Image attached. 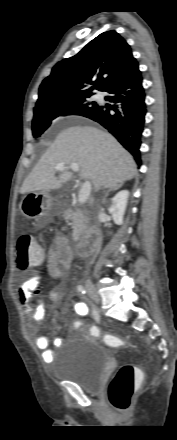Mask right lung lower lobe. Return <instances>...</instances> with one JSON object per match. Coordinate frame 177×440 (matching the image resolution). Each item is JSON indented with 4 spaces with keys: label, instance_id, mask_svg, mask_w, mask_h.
<instances>
[{
    "label": "right lung lower lobe",
    "instance_id": "right-lung-lower-lobe-1",
    "mask_svg": "<svg viewBox=\"0 0 177 440\" xmlns=\"http://www.w3.org/2000/svg\"><path fill=\"white\" fill-rule=\"evenodd\" d=\"M106 100L112 107L98 106L84 116L90 118L112 133L141 165L140 145L144 129L146 104L139 68L114 82L107 90Z\"/></svg>",
    "mask_w": 177,
    "mask_h": 440
}]
</instances>
